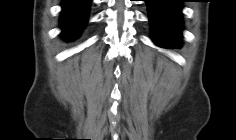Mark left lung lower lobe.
Wrapping results in <instances>:
<instances>
[{
  "label": "left lung lower lobe",
  "mask_w": 236,
  "mask_h": 140,
  "mask_svg": "<svg viewBox=\"0 0 236 140\" xmlns=\"http://www.w3.org/2000/svg\"><path fill=\"white\" fill-rule=\"evenodd\" d=\"M151 24L152 40L163 48H179L182 36L184 0H145Z\"/></svg>",
  "instance_id": "0a47b994"
}]
</instances>
